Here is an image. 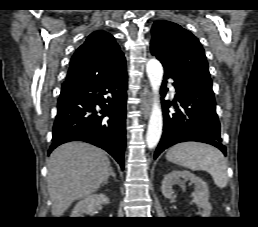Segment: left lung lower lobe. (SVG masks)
<instances>
[{"label": "left lung lower lobe", "mask_w": 258, "mask_h": 227, "mask_svg": "<svg viewBox=\"0 0 258 227\" xmlns=\"http://www.w3.org/2000/svg\"><path fill=\"white\" fill-rule=\"evenodd\" d=\"M168 78L174 80L173 86L176 89L174 103H170L174 105L175 112L169 113L168 101L162 100L164 128L154 159L166 148L184 141L208 143L226 155V148L221 143L212 85L165 73L162 92Z\"/></svg>", "instance_id": "1"}]
</instances>
